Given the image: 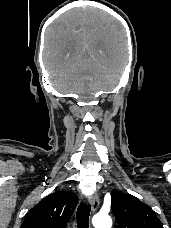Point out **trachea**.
I'll use <instances>...</instances> for the list:
<instances>
[{
  "instance_id": "obj_1",
  "label": "trachea",
  "mask_w": 171,
  "mask_h": 228,
  "mask_svg": "<svg viewBox=\"0 0 171 228\" xmlns=\"http://www.w3.org/2000/svg\"><path fill=\"white\" fill-rule=\"evenodd\" d=\"M91 207L80 204L77 208L76 218L78 228H88Z\"/></svg>"
}]
</instances>
